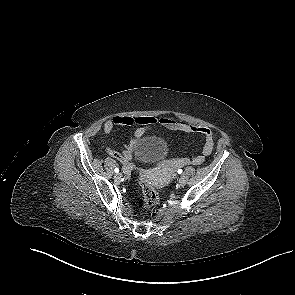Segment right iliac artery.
Returning <instances> with one entry per match:
<instances>
[{
	"instance_id": "right-iliac-artery-1",
	"label": "right iliac artery",
	"mask_w": 295,
	"mask_h": 295,
	"mask_svg": "<svg viewBox=\"0 0 295 295\" xmlns=\"http://www.w3.org/2000/svg\"><path fill=\"white\" fill-rule=\"evenodd\" d=\"M114 171H115V173H118L119 172V168H115Z\"/></svg>"
}]
</instances>
